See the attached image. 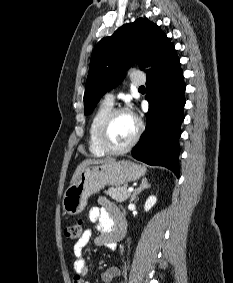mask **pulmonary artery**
Returning <instances> with one entry per match:
<instances>
[{
  "label": "pulmonary artery",
  "mask_w": 233,
  "mask_h": 283,
  "mask_svg": "<svg viewBox=\"0 0 233 283\" xmlns=\"http://www.w3.org/2000/svg\"><path fill=\"white\" fill-rule=\"evenodd\" d=\"M131 81L134 86H141L145 83L146 79L142 74H134ZM104 102L113 105L115 102V96L112 93L106 94Z\"/></svg>",
  "instance_id": "e3ab8cb5"
}]
</instances>
